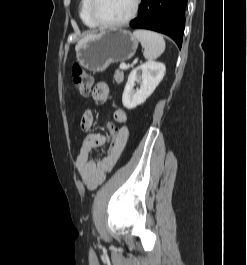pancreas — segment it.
Segmentation results:
<instances>
[{
  "label": "pancreas",
  "mask_w": 247,
  "mask_h": 265,
  "mask_svg": "<svg viewBox=\"0 0 247 265\" xmlns=\"http://www.w3.org/2000/svg\"><path fill=\"white\" fill-rule=\"evenodd\" d=\"M123 79H124V73H123V71H121V70H117V71L115 72V75H114V80H115L118 84H120V83L123 82Z\"/></svg>",
  "instance_id": "cf45deb5"
}]
</instances>
